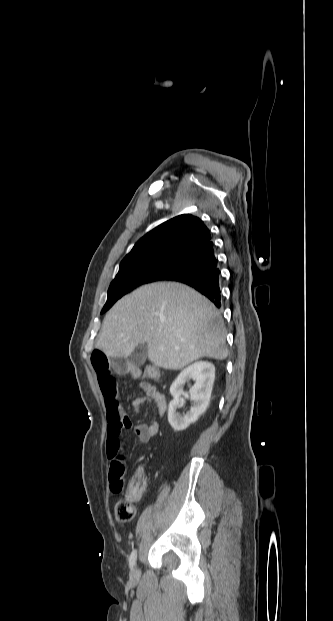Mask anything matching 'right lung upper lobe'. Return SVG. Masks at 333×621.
<instances>
[{
    "label": "right lung upper lobe",
    "mask_w": 333,
    "mask_h": 621,
    "mask_svg": "<svg viewBox=\"0 0 333 621\" xmlns=\"http://www.w3.org/2000/svg\"><path fill=\"white\" fill-rule=\"evenodd\" d=\"M212 240L210 230L196 216L182 214L144 235L121 263L189 255Z\"/></svg>",
    "instance_id": "right-lung-upper-lobe-1"
}]
</instances>
